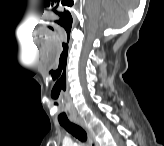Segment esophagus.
<instances>
[{"mask_svg": "<svg viewBox=\"0 0 164 146\" xmlns=\"http://www.w3.org/2000/svg\"><path fill=\"white\" fill-rule=\"evenodd\" d=\"M73 122L81 126L87 132L90 146H98V143L96 142L92 132L87 128L85 122L81 118H75L73 119Z\"/></svg>", "mask_w": 164, "mask_h": 146, "instance_id": "obj_1", "label": "esophagus"}]
</instances>
